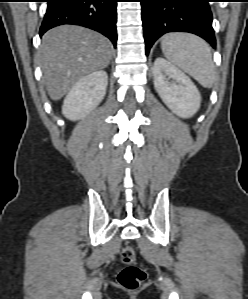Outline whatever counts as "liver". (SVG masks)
I'll return each mask as SVG.
<instances>
[{
  "label": "liver",
  "mask_w": 248,
  "mask_h": 299,
  "mask_svg": "<svg viewBox=\"0 0 248 299\" xmlns=\"http://www.w3.org/2000/svg\"><path fill=\"white\" fill-rule=\"evenodd\" d=\"M112 51L106 37L84 27L62 25L45 33L39 58L50 98L61 99L81 78L107 67Z\"/></svg>",
  "instance_id": "liver-1"
}]
</instances>
